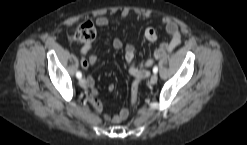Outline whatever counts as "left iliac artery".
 <instances>
[{"instance_id": "1", "label": "left iliac artery", "mask_w": 247, "mask_h": 145, "mask_svg": "<svg viewBox=\"0 0 247 145\" xmlns=\"http://www.w3.org/2000/svg\"><path fill=\"white\" fill-rule=\"evenodd\" d=\"M158 72V67L157 66H154L153 67V73H157Z\"/></svg>"}]
</instances>
